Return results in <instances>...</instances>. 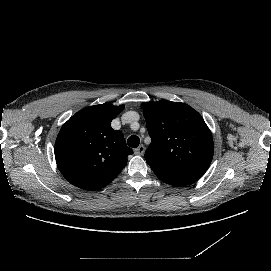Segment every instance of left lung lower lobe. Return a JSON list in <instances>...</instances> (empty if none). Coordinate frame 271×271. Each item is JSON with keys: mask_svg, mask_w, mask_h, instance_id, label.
I'll return each mask as SVG.
<instances>
[{"mask_svg": "<svg viewBox=\"0 0 271 271\" xmlns=\"http://www.w3.org/2000/svg\"><path fill=\"white\" fill-rule=\"evenodd\" d=\"M148 164L161 181L173 186L192 184L202 176V174L194 172L166 168L152 163Z\"/></svg>", "mask_w": 271, "mask_h": 271, "instance_id": "left-lung-lower-lobe-1", "label": "left lung lower lobe"}]
</instances>
